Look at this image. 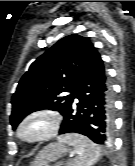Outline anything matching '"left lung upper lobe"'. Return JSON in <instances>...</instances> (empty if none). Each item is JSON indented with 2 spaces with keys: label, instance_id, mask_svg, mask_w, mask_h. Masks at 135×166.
I'll list each match as a JSON object with an SVG mask.
<instances>
[{
  "label": "left lung upper lobe",
  "instance_id": "1",
  "mask_svg": "<svg viewBox=\"0 0 135 166\" xmlns=\"http://www.w3.org/2000/svg\"><path fill=\"white\" fill-rule=\"evenodd\" d=\"M96 54L89 38L73 34L38 57L19 81L12 97L13 129L24 117L42 107L62 114L70 106L74 89Z\"/></svg>",
  "mask_w": 135,
  "mask_h": 166
}]
</instances>
